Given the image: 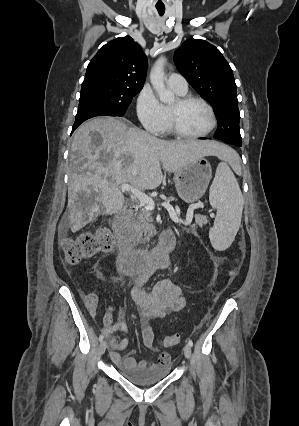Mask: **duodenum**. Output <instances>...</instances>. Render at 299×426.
Masks as SVG:
<instances>
[{"label":"duodenum","mask_w":299,"mask_h":426,"mask_svg":"<svg viewBox=\"0 0 299 426\" xmlns=\"http://www.w3.org/2000/svg\"><path fill=\"white\" fill-rule=\"evenodd\" d=\"M128 212L117 215L113 229L118 238L117 265L126 275H135L153 261L164 258L174 249L175 235L172 230H164L157 245L151 250L137 249L128 224Z\"/></svg>","instance_id":"1"}]
</instances>
